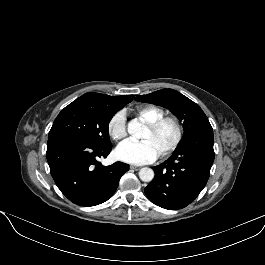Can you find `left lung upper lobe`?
<instances>
[{"label": "left lung upper lobe", "instance_id": "5c2ea615", "mask_svg": "<svg viewBox=\"0 0 265 265\" xmlns=\"http://www.w3.org/2000/svg\"><path fill=\"white\" fill-rule=\"evenodd\" d=\"M135 100L167 108L182 120L184 136L179 144L199 131L212 129L202 109L195 102L173 89H162L147 95H139Z\"/></svg>", "mask_w": 265, "mask_h": 265}]
</instances>
